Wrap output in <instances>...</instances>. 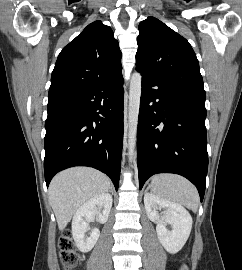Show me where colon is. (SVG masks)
Wrapping results in <instances>:
<instances>
[{
	"mask_svg": "<svg viewBox=\"0 0 242 270\" xmlns=\"http://www.w3.org/2000/svg\"><path fill=\"white\" fill-rule=\"evenodd\" d=\"M58 246L63 270H72L80 263L81 256L76 250L70 232H66L60 237Z\"/></svg>",
	"mask_w": 242,
	"mask_h": 270,
	"instance_id": "colon-1",
	"label": "colon"
}]
</instances>
